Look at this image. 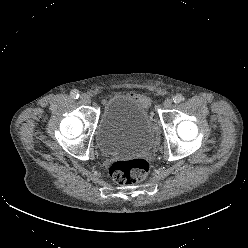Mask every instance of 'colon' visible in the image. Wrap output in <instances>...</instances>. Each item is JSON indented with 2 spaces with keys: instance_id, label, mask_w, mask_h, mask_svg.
<instances>
[{
  "instance_id": "colon-1",
  "label": "colon",
  "mask_w": 248,
  "mask_h": 248,
  "mask_svg": "<svg viewBox=\"0 0 248 248\" xmlns=\"http://www.w3.org/2000/svg\"><path fill=\"white\" fill-rule=\"evenodd\" d=\"M149 170L150 165L146 159L136 158L114 162L110 166L109 174L115 183L129 185L142 181Z\"/></svg>"
}]
</instances>
